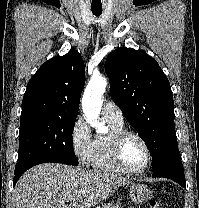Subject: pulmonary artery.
<instances>
[{
	"label": "pulmonary artery",
	"instance_id": "1",
	"mask_svg": "<svg viewBox=\"0 0 199 208\" xmlns=\"http://www.w3.org/2000/svg\"><path fill=\"white\" fill-rule=\"evenodd\" d=\"M102 114L105 119L116 123H124V115L121 109L112 101H105L102 107Z\"/></svg>",
	"mask_w": 199,
	"mask_h": 208
}]
</instances>
